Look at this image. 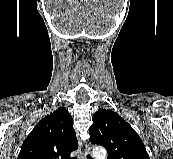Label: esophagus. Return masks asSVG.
Masks as SVG:
<instances>
[{
    "label": "esophagus",
    "mask_w": 173,
    "mask_h": 159,
    "mask_svg": "<svg viewBox=\"0 0 173 159\" xmlns=\"http://www.w3.org/2000/svg\"><path fill=\"white\" fill-rule=\"evenodd\" d=\"M84 159H93L91 152H90V146L89 144L85 145V149H84Z\"/></svg>",
    "instance_id": "1"
}]
</instances>
